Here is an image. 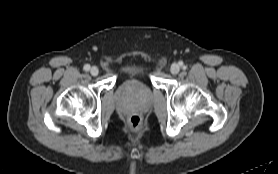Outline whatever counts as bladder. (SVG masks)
Masks as SVG:
<instances>
[{
    "label": "bladder",
    "mask_w": 278,
    "mask_h": 174,
    "mask_svg": "<svg viewBox=\"0 0 278 174\" xmlns=\"http://www.w3.org/2000/svg\"><path fill=\"white\" fill-rule=\"evenodd\" d=\"M125 72L132 75H142L146 72V68L140 63H131L124 67Z\"/></svg>",
    "instance_id": "31cf9c89"
}]
</instances>
